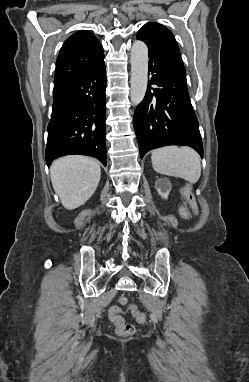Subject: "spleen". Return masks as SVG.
Returning <instances> with one entry per match:
<instances>
[{"label": "spleen", "mask_w": 249, "mask_h": 382, "mask_svg": "<svg viewBox=\"0 0 249 382\" xmlns=\"http://www.w3.org/2000/svg\"><path fill=\"white\" fill-rule=\"evenodd\" d=\"M152 166L160 174L180 177L191 184L201 175V159L190 147L167 146L152 151Z\"/></svg>", "instance_id": "obj_1"}]
</instances>
